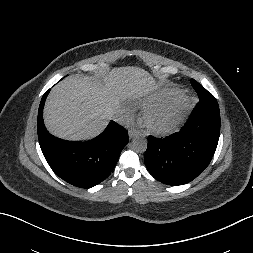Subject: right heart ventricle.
<instances>
[{
    "label": "right heart ventricle",
    "mask_w": 253,
    "mask_h": 253,
    "mask_svg": "<svg viewBox=\"0 0 253 253\" xmlns=\"http://www.w3.org/2000/svg\"><path fill=\"white\" fill-rule=\"evenodd\" d=\"M177 92V89H164L161 92H159L157 95L153 96L149 99L148 103L154 104L166 101L173 97L175 93Z\"/></svg>",
    "instance_id": "right-heart-ventricle-1"
}]
</instances>
